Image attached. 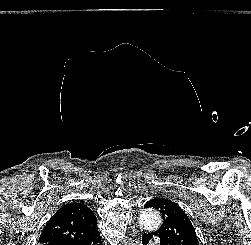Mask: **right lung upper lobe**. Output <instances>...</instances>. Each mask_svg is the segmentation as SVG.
Returning <instances> with one entry per match:
<instances>
[{
  "instance_id": "right-lung-upper-lobe-1",
  "label": "right lung upper lobe",
  "mask_w": 251,
  "mask_h": 245,
  "mask_svg": "<svg viewBox=\"0 0 251 245\" xmlns=\"http://www.w3.org/2000/svg\"><path fill=\"white\" fill-rule=\"evenodd\" d=\"M99 235L94 213L82 203L61 207L44 227L40 245H68L94 239Z\"/></svg>"
}]
</instances>
